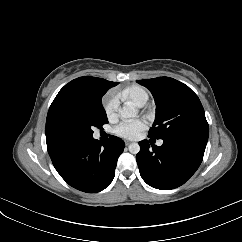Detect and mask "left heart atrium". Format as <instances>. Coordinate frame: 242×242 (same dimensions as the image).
Segmentation results:
<instances>
[{
    "instance_id": "obj_1",
    "label": "left heart atrium",
    "mask_w": 242,
    "mask_h": 242,
    "mask_svg": "<svg viewBox=\"0 0 242 242\" xmlns=\"http://www.w3.org/2000/svg\"><path fill=\"white\" fill-rule=\"evenodd\" d=\"M147 127L148 123L142 119L132 122L124 121L116 126L114 132L122 138L134 140L137 139Z\"/></svg>"
}]
</instances>
